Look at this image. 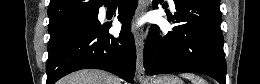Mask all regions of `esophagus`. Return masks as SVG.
<instances>
[{"mask_svg": "<svg viewBox=\"0 0 260 84\" xmlns=\"http://www.w3.org/2000/svg\"><path fill=\"white\" fill-rule=\"evenodd\" d=\"M149 5V0H139L138 12L143 11ZM145 34L142 30H138L135 33L136 43V77L138 81H142L145 78V71L143 66V49H144Z\"/></svg>", "mask_w": 260, "mask_h": 84, "instance_id": "1", "label": "esophagus"}]
</instances>
